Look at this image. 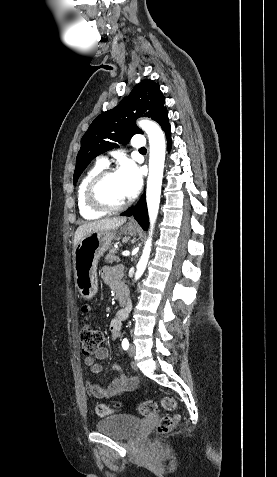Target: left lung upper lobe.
<instances>
[{
    "label": "left lung upper lobe",
    "mask_w": 277,
    "mask_h": 477,
    "mask_svg": "<svg viewBox=\"0 0 277 477\" xmlns=\"http://www.w3.org/2000/svg\"><path fill=\"white\" fill-rule=\"evenodd\" d=\"M142 116L151 117L161 127L168 122L165 98L152 80L141 81L118 106L94 119L81 140L73 183L96 156L117 147V143H127L136 133L142 134L135 125Z\"/></svg>",
    "instance_id": "1"
}]
</instances>
